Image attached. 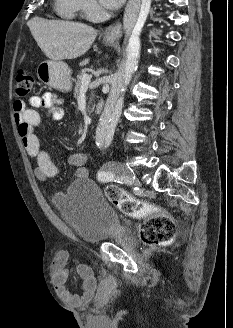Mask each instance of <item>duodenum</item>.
I'll list each match as a JSON object with an SVG mask.
<instances>
[{
    "mask_svg": "<svg viewBox=\"0 0 233 328\" xmlns=\"http://www.w3.org/2000/svg\"><path fill=\"white\" fill-rule=\"evenodd\" d=\"M104 101L103 100H99V101H97V103H96V105H95V112L96 113H100L102 110H103V108H104Z\"/></svg>",
    "mask_w": 233,
    "mask_h": 328,
    "instance_id": "410a0bca",
    "label": "duodenum"
}]
</instances>
